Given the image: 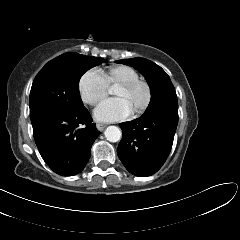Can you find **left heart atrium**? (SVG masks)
<instances>
[{
  "mask_svg": "<svg viewBox=\"0 0 240 240\" xmlns=\"http://www.w3.org/2000/svg\"><path fill=\"white\" fill-rule=\"evenodd\" d=\"M133 109L122 97H112L101 101L94 109V117L102 122H114L128 117Z\"/></svg>",
  "mask_w": 240,
  "mask_h": 240,
  "instance_id": "left-heart-atrium-1",
  "label": "left heart atrium"
}]
</instances>
